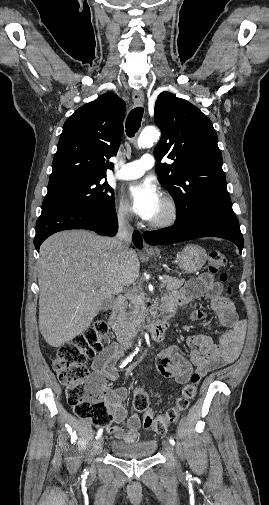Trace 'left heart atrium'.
I'll list each match as a JSON object with an SVG mask.
<instances>
[{
    "label": "left heart atrium",
    "mask_w": 269,
    "mask_h": 505,
    "mask_svg": "<svg viewBox=\"0 0 269 505\" xmlns=\"http://www.w3.org/2000/svg\"><path fill=\"white\" fill-rule=\"evenodd\" d=\"M131 210L144 220H150L157 211L162 196L158 187L151 180L132 184L127 191Z\"/></svg>",
    "instance_id": "obj_1"
}]
</instances>
